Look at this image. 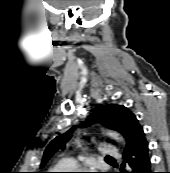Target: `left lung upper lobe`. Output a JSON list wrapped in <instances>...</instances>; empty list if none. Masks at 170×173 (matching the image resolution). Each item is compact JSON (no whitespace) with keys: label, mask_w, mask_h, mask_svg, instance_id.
I'll use <instances>...</instances> for the list:
<instances>
[{"label":"left lung upper lobe","mask_w":170,"mask_h":173,"mask_svg":"<svg viewBox=\"0 0 170 173\" xmlns=\"http://www.w3.org/2000/svg\"><path fill=\"white\" fill-rule=\"evenodd\" d=\"M94 113L83 123L81 127H87L94 121V117H99L101 123L110 129L117 130L126 139V147L124 151L131 150L141 142L146 141L145 134L141 125L138 123L136 116L125 106L110 104V105H97L93 109ZM75 127L71 128L68 132L56 137L47 146L41 166H44L50 157L66 142L69 141Z\"/></svg>","instance_id":"left-lung-upper-lobe-1"}]
</instances>
